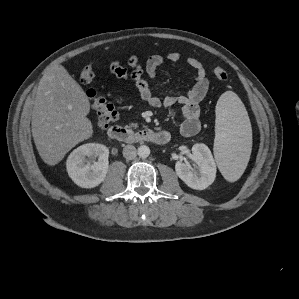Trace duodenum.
Masks as SVG:
<instances>
[{
    "instance_id": "410a0bca",
    "label": "duodenum",
    "mask_w": 299,
    "mask_h": 299,
    "mask_svg": "<svg viewBox=\"0 0 299 299\" xmlns=\"http://www.w3.org/2000/svg\"><path fill=\"white\" fill-rule=\"evenodd\" d=\"M108 136L113 140L127 144L143 141L164 144L169 140V135L165 132H158L151 129L132 131L119 125H113L110 127L108 130Z\"/></svg>"
}]
</instances>
